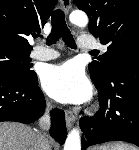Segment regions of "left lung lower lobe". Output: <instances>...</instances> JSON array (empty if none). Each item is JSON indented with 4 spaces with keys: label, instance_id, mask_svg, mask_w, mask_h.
<instances>
[{
    "label": "left lung lower lobe",
    "instance_id": "0a47b994",
    "mask_svg": "<svg viewBox=\"0 0 139 150\" xmlns=\"http://www.w3.org/2000/svg\"><path fill=\"white\" fill-rule=\"evenodd\" d=\"M91 78L98 89L100 109L80 121L82 150L108 141H126L139 147V51L122 58L107 82Z\"/></svg>",
    "mask_w": 139,
    "mask_h": 150
}]
</instances>
